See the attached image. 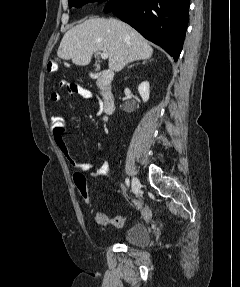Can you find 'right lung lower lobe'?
<instances>
[{"label":"right lung lower lobe","instance_id":"obj_1","mask_svg":"<svg viewBox=\"0 0 240 287\" xmlns=\"http://www.w3.org/2000/svg\"><path fill=\"white\" fill-rule=\"evenodd\" d=\"M188 9L189 0H110L104 12H113L177 61L189 20Z\"/></svg>","mask_w":240,"mask_h":287}]
</instances>
